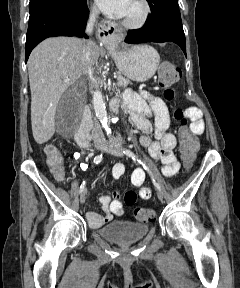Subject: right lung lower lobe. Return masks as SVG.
I'll return each instance as SVG.
<instances>
[{"mask_svg": "<svg viewBox=\"0 0 240 288\" xmlns=\"http://www.w3.org/2000/svg\"><path fill=\"white\" fill-rule=\"evenodd\" d=\"M86 0L75 5H54L43 9L30 17L26 37V57L32 49L47 37L78 36L85 37V26L88 19Z\"/></svg>", "mask_w": 240, "mask_h": 288, "instance_id": "right-lung-lower-lobe-1", "label": "right lung lower lobe"}]
</instances>
